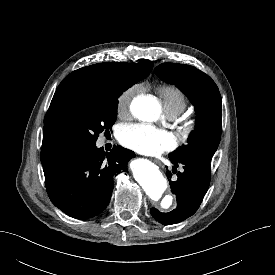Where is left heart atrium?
<instances>
[{
  "instance_id": "39dd6f15",
  "label": "left heart atrium",
  "mask_w": 275,
  "mask_h": 275,
  "mask_svg": "<svg viewBox=\"0 0 275 275\" xmlns=\"http://www.w3.org/2000/svg\"><path fill=\"white\" fill-rule=\"evenodd\" d=\"M119 140L125 147L147 155L170 151L176 146L173 134L144 123L123 125Z\"/></svg>"
}]
</instances>
